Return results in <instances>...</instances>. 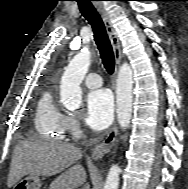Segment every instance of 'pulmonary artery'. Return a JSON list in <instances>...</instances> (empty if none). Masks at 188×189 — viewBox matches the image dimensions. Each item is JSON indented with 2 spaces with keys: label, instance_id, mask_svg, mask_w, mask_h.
Wrapping results in <instances>:
<instances>
[{
  "label": "pulmonary artery",
  "instance_id": "1",
  "mask_svg": "<svg viewBox=\"0 0 188 189\" xmlns=\"http://www.w3.org/2000/svg\"><path fill=\"white\" fill-rule=\"evenodd\" d=\"M84 83L89 88H97L102 85V78L96 73H89L85 76Z\"/></svg>",
  "mask_w": 188,
  "mask_h": 189
}]
</instances>
